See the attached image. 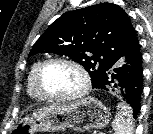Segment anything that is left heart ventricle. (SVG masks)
<instances>
[{
	"instance_id": "left-heart-ventricle-1",
	"label": "left heart ventricle",
	"mask_w": 153,
	"mask_h": 134,
	"mask_svg": "<svg viewBox=\"0 0 153 134\" xmlns=\"http://www.w3.org/2000/svg\"><path fill=\"white\" fill-rule=\"evenodd\" d=\"M41 83L46 93L65 96L77 92L81 88L82 80L73 67L55 63L45 69Z\"/></svg>"
}]
</instances>
